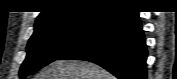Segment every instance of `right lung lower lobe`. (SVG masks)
I'll use <instances>...</instances> for the list:
<instances>
[{
    "instance_id": "98d812e1",
    "label": "right lung lower lobe",
    "mask_w": 177,
    "mask_h": 79,
    "mask_svg": "<svg viewBox=\"0 0 177 79\" xmlns=\"http://www.w3.org/2000/svg\"><path fill=\"white\" fill-rule=\"evenodd\" d=\"M96 63L118 79H146L147 46L138 12L127 7L106 11L98 24L58 60Z\"/></svg>"
}]
</instances>
